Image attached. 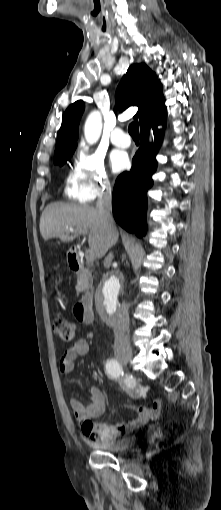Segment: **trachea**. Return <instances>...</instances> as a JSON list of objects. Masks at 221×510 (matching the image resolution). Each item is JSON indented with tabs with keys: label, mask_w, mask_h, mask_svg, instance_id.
I'll return each instance as SVG.
<instances>
[{
	"label": "trachea",
	"mask_w": 221,
	"mask_h": 510,
	"mask_svg": "<svg viewBox=\"0 0 221 510\" xmlns=\"http://www.w3.org/2000/svg\"><path fill=\"white\" fill-rule=\"evenodd\" d=\"M129 134L132 136L134 140H138V132H139V124L138 121H134L129 125L128 128Z\"/></svg>",
	"instance_id": "1"
}]
</instances>
